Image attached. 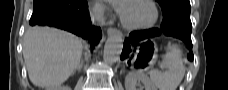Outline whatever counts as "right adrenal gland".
I'll list each match as a JSON object with an SVG mask.
<instances>
[{"label":"right adrenal gland","mask_w":228,"mask_h":90,"mask_svg":"<svg viewBox=\"0 0 228 90\" xmlns=\"http://www.w3.org/2000/svg\"><path fill=\"white\" fill-rule=\"evenodd\" d=\"M82 67H83V61H81V62L79 63V65L77 66V68L73 71L72 75L75 74L76 70L80 72L81 69H82Z\"/></svg>","instance_id":"obj_1"}]
</instances>
